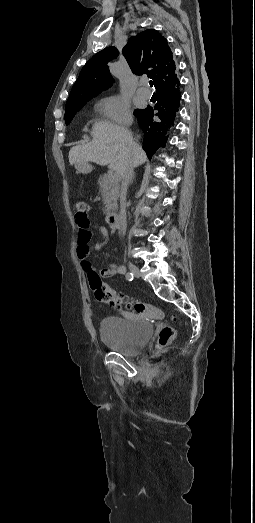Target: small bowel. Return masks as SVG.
Returning <instances> with one entry per match:
<instances>
[{"mask_svg":"<svg viewBox=\"0 0 255 523\" xmlns=\"http://www.w3.org/2000/svg\"><path fill=\"white\" fill-rule=\"evenodd\" d=\"M78 246H77V257L81 262L82 268L84 271L91 273L95 272L92 267V264L89 261L90 253V241L92 238V233L89 229V224L87 226H78ZM98 232L101 235V241L96 243L93 246L94 250H102L108 244V232L104 226H98ZM126 271L125 267L120 264L112 263L108 268L102 270L100 273L104 277H112L117 274H124Z\"/></svg>","mask_w":255,"mask_h":523,"instance_id":"obj_1","label":"small bowel"}]
</instances>
